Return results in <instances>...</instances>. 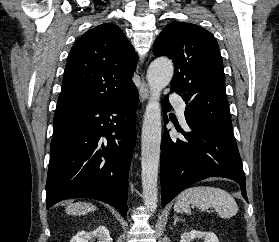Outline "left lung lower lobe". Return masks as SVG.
<instances>
[{"mask_svg":"<svg viewBox=\"0 0 279 242\" xmlns=\"http://www.w3.org/2000/svg\"><path fill=\"white\" fill-rule=\"evenodd\" d=\"M170 109L166 97L163 102L166 123V110ZM187 124L188 132L179 130L183 139H172L165 132L161 140L162 205L169 203L187 186L208 177L236 181L248 202L242 161L233 137L204 124Z\"/></svg>","mask_w":279,"mask_h":242,"instance_id":"left-lung-lower-lobe-1","label":"left lung lower lobe"}]
</instances>
